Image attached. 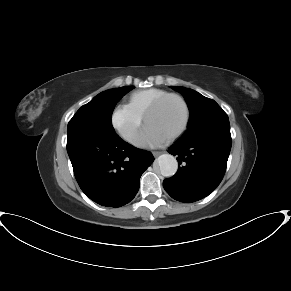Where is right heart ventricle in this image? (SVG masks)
<instances>
[{
  "label": "right heart ventricle",
  "mask_w": 291,
  "mask_h": 291,
  "mask_svg": "<svg viewBox=\"0 0 291 291\" xmlns=\"http://www.w3.org/2000/svg\"><path fill=\"white\" fill-rule=\"evenodd\" d=\"M167 91L158 88H148L132 92L128 97V105L143 117L149 106Z\"/></svg>",
  "instance_id": "obj_1"
}]
</instances>
